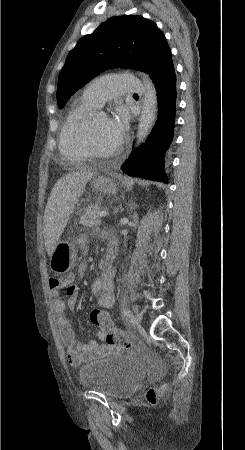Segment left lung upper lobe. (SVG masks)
I'll list each match as a JSON object with an SVG mask.
<instances>
[{"mask_svg": "<svg viewBox=\"0 0 245 450\" xmlns=\"http://www.w3.org/2000/svg\"><path fill=\"white\" fill-rule=\"evenodd\" d=\"M171 59L166 38L153 21L139 15L112 17L69 52L59 74L58 106L107 69L132 68L152 76Z\"/></svg>", "mask_w": 245, "mask_h": 450, "instance_id": "left-lung-upper-lobe-1", "label": "left lung upper lobe"}]
</instances>
